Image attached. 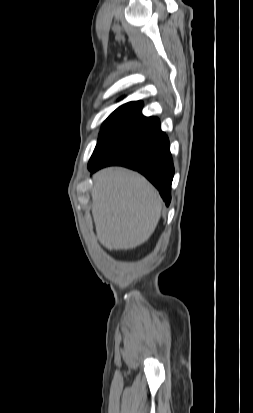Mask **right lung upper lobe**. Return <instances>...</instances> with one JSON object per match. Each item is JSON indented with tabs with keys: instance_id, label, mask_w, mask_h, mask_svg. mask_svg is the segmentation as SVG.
Here are the masks:
<instances>
[{
	"instance_id": "cb5924a9",
	"label": "right lung upper lobe",
	"mask_w": 253,
	"mask_h": 413,
	"mask_svg": "<svg viewBox=\"0 0 253 413\" xmlns=\"http://www.w3.org/2000/svg\"><path fill=\"white\" fill-rule=\"evenodd\" d=\"M142 107L143 103L141 101H134L120 106L114 112H132L141 114Z\"/></svg>"
}]
</instances>
